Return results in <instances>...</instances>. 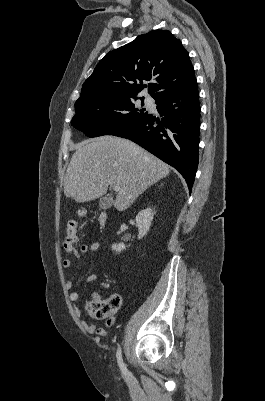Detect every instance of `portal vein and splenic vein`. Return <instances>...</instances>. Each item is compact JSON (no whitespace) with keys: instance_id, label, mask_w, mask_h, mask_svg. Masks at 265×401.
Wrapping results in <instances>:
<instances>
[{"instance_id":"portal-vein-and-splenic-vein-1","label":"portal vein and splenic vein","mask_w":265,"mask_h":401,"mask_svg":"<svg viewBox=\"0 0 265 401\" xmlns=\"http://www.w3.org/2000/svg\"><path fill=\"white\" fill-rule=\"evenodd\" d=\"M114 190H116V192H117V190H120V186H116V184H115Z\"/></svg>"}]
</instances>
